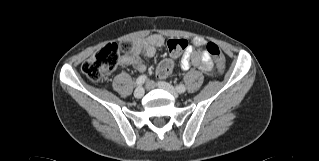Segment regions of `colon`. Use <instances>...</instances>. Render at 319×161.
<instances>
[{"label":"colon","mask_w":319,"mask_h":161,"mask_svg":"<svg viewBox=\"0 0 319 161\" xmlns=\"http://www.w3.org/2000/svg\"><path fill=\"white\" fill-rule=\"evenodd\" d=\"M187 46L186 41L169 40L167 43V48L172 54L187 50ZM205 48L214 58L219 72L222 73L225 69V58L219 46L214 42H208ZM131 50V45L128 42L108 44L85 61L82 71L92 81L102 82L116 68L120 59V53H128ZM171 68L172 66L169 61H163L159 65L158 73L161 75L169 73Z\"/></svg>","instance_id":"colon-1"}]
</instances>
